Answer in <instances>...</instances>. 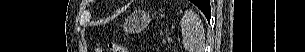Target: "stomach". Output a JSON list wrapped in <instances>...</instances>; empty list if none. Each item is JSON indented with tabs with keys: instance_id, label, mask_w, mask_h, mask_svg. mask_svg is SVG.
Returning a JSON list of instances; mask_svg holds the SVG:
<instances>
[{
	"instance_id": "stomach-1",
	"label": "stomach",
	"mask_w": 305,
	"mask_h": 52,
	"mask_svg": "<svg viewBox=\"0 0 305 52\" xmlns=\"http://www.w3.org/2000/svg\"><path fill=\"white\" fill-rule=\"evenodd\" d=\"M150 15L145 11H134L125 19L124 28L129 32H139L150 23Z\"/></svg>"
}]
</instances>
